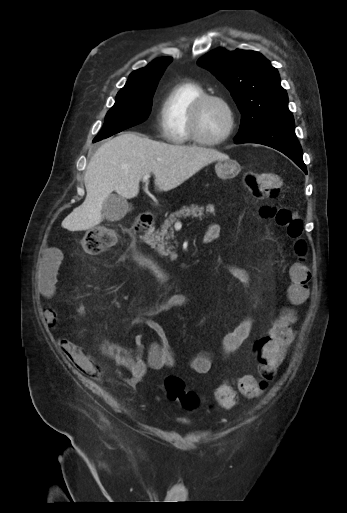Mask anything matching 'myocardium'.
Wrapping results in <instances>:
<instances>
[{"mask_svg":"<svg viewBox=\"0 0 347 513\" xmlns=\"http://www.w3.org/2000/svg\"><path fill=\"white\" fill-rule=\"evenodd\" d=\"M210 101H215L224 106L228 113L229 124L226 132L219 138H204L199 130V121L204 105ZM236 127V114L231 103L223 96L217 94L205 93L198 97L192 104L188 115V131L193 142L203 146H217L224 143L233 134Z\"/></svg>","mask_w":347,"mask_h":513,"instance_id":"1","label":"myocardium"}]
</instances>
